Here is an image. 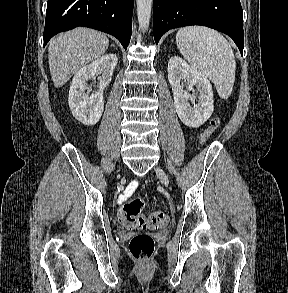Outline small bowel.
Instances as JSON below:
<instances>
[{
    "instance_id": "c3829d8e",
    "label": "small bowel",
    "mask_w": 288,
    "mask_h": 293,
    "mask_svg": "<svg viewBox=\"0 0 288 293\" xmlns=\"http://www.w3.org/2000/svg\"><path fill=\"white\" fill-rule=\"evenodd\" d=\"M126 198H127V194H123V195L120 197L119 201L122 202V201H124Z\"/></svg>"
}]
</instances>
